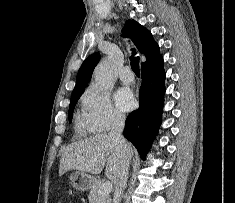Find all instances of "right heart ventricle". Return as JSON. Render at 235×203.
Listing matches in <instances>:
<instances>
[{
	"label": "right heart ventricle",
	"mask_w": 235,
	"mask_h": 203,
	"mask_svg": "<svg viewBox=\"0 0 235 203\" xmlns=\"http://www.w3.org/2000/svg\"><path fill=\"white\" fill-rule=\"evenodd\" d=\"M78 126H79V128H81V129H83V128L86 127L85 120H84L83 117H79V119H78Z\"/></svg>",
	"instance_id": "right-heart-ventricle-1"
}]
</instances>
